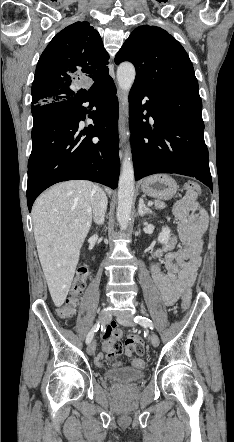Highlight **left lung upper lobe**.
Returning a JSON list of instances; mask_svg holds the SVG:
<instances>
[{"mask_svg":"<svg viewBox=\"0 0 234 442\" xmlns=\"http://www.w3.org/2000/svg\"><path fill=\"white\" fill-rule=\"evenodd\" d=\"M123 61H130L136 68L134 84L199 90L186 51L160 27L136 28L115 57L116 64Z\"/></svg>","mask_w":234,"mask_h":442,"instance_id":"left-lung-upper-lobe-1","label":"left lung upper lobe"}]
</instances>
